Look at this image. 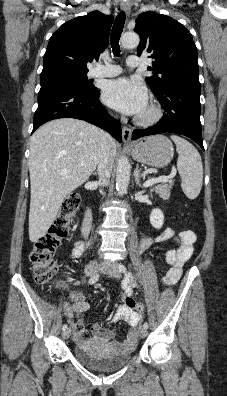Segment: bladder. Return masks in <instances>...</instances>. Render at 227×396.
<instances>
[{
	"mask_svg": "<svg viewBox=\"0 0 227 396\" xmlns=\"http://www.w3.org/2000/svg\"><path fill=\"white\" fill-rule=\"evenodd\" d=\"M73 355L80 364L94 372L118 370L127 365L132 358L130 352L106 353L99 345L93 342L75 346Z\"/></svg>",
	"mask_w": 227,
	"mask_h": 396,
	"instance_id": "31cf9c89",
	"label": "bladder"
}]
</instances>
